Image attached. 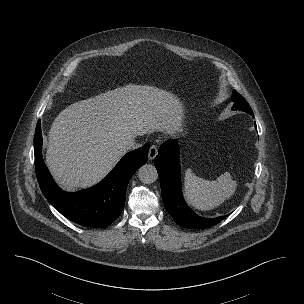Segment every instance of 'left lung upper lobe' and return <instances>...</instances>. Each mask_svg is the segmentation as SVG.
<instances>
[{"label": "left lung upper lobe", "instance_id": "left-lung-upper-lobe-1", "mask_svg": "<svg viewBox=\"0 0 304 304\" xmlns=\"http://www.w3.org/2000/svg\"><path fill=\"white\" fill-rule=\"evenodd\" d=\"M232 99L235 102L232 109L240 110L249 113L250 115H253V111L247 101L238 94L235 90L232 94Z\"/></svg>", "mask_w": 304, "mask_h": 304}]
</instances>
